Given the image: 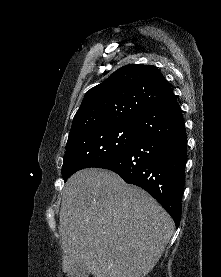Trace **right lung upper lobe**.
Here are the masks:
<instances>
[{"mask_svg": "<svg viewBox=\"0 0 221 277\" xmlns=\"http://www.w3.org/2000/svg\"><path fill=\"white\" fill-rule=\"evenodd\" d=\"M173 96L157 67L126 65L85 94L69 137L97 126L136 122Z\"/></svg>", "mask_w": 221, "mask_h": 277, "instance_id": "obj_1", "label": "right lung upper lobe"}]
</instances>
